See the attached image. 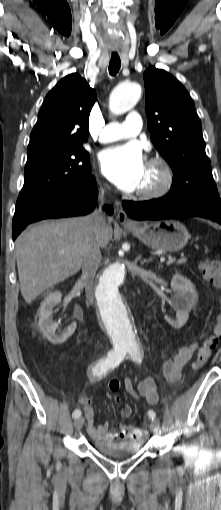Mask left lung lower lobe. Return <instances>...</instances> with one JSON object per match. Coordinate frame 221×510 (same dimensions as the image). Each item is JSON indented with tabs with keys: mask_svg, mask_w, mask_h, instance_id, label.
Returning <instances> with one entry per match:
<instances>
[{
	"mask_svg": "<svg viewBox=\"0 0 221 510\" xmlns=\"http://www.w3.org/2000/svg\"><path fill=\"white\" fill-rule=\"evenodd\" d=\"M122 205L128 216L136 220L197 216L221 224V204L212 200L175 201L162 197L143 202L123 201Z\"/></svg>",
	"mask_w": 221,
	"mask_h": 510,
	"instance_id": "obj_1",
	"label": "left lung lower lobe"
}]
</instances>
